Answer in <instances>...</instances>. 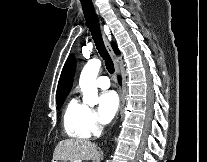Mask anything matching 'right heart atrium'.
<instances>
[{
  "label": "right heart atrium",
  "mask_w": 207,
  "mask_h": 162,
  "mask_svg": "<svg viewBox=\"0 0 207 162\" xmlns=\"http://www.w3.org/2000/svg\"><path fill=\"white\" fill-rule=\"evenodd\" d=\"M88 125L92 133H97L99 131V122L95 111L89 109L88 112Z\"/></svg>",
  "instance_id": "obj_1"
}]
</instances>
